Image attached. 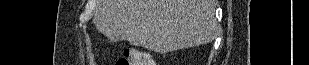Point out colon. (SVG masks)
<instances>
[{"mask_svg":"<svg viewBox=\"0 0 309 65\" xmlns=\"http://www.w3.org/2000/svg\"><path fill=\"white\" fill-rule=\"evenodd\" d=\"M149 58L148 52L125 49L123 56L118 60V65H152L153 63H145Z\"/></svg>","mask_w":309,"mask_h":65,"instance_id":"obj_1","label":"colon"}]
</instances>
